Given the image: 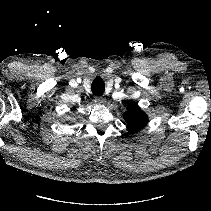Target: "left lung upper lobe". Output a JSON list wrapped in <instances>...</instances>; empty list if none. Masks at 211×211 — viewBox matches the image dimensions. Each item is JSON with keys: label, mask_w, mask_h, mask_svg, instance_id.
<instances>
[{"label": "left lung upper lobe", "mask_w": 211, "mask_h": 211, "mask_svg": "<svg viewBox=\"0 0 211 211\" xmlns=\"http://www.w3.org/2000/svg\"><path fill=\"white\" fill-rule=\"evenodd\" d=\"M128 106V111L123 114V118L127 123L129 133L134 134L144 128L148 117L137 105L128 102Z\"/></svg>", "instance_id": "1"}]
</instances>
